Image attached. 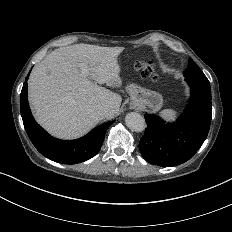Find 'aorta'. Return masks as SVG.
I'll return each mask as SVG.
<instances>
[{"mask_svg":"<svg viewBox=\"0 0 232 232\" xmlns=\"http://www.w3.org/2000/svg\"><path fill=\"white\" fill-rule=\"evenodd\" d=\"M125 122L127 127L135 132H142L146 127L144 118L136 112L128 113Z\"/></svg>","mask_w":232,"mask_h":232,"instance_id":"obj_1","label":"aorta"}]
</instances>
